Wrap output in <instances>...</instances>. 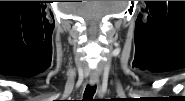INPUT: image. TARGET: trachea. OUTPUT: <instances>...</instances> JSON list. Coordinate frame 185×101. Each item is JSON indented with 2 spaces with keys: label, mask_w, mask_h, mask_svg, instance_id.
<instances>
[{
  "label": "trachea",
  "mask_w": 185,
  "mask_h": 101,
  "mask_svg": "<svg viewBox=\"0 0 185 101\" xmlns=\"http://www.w3.org/2000/svg\"><path fill=\"white\" fill-rule=\"evenodd\" d=\"M96 92V85H87L83 95V101H93V96Z\"/></svg>",
  "instance_id": "1"
}]
</instances>
